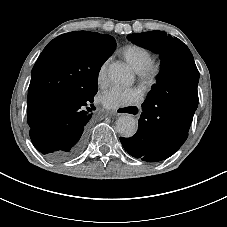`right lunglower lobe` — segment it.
I'll return each instance as SVG.
<instances>
[{
	"label": "right lung lower lobe",
	"instance_id": "obj_1",
	"mask_svg": "<svg viewBox=\"0 0 227 227\" xmlns=\"http://www.w3.org/2000/svg\"><path fill=\"white\" fill-rule=\"evenodd\" d=\"M94 95L62 98L41 128L30 129L36 149L54 161L76 157L86 143L87 123L91 118L87 106L93 102Z\"/></svg>",
	"mask_w": 227,
	"mask_h": 227
}]
</instances>
